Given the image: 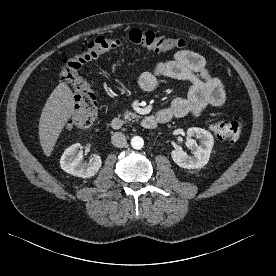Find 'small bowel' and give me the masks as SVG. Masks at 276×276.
Listing matches in <instances>:
<instances>
[{"label": "small bowel", "instance_id": "c3829d8e", "mask_svg": "<svg viewBox=\"0 0 276 276\" xmlns=\"http://www.w3.org/2000/svg\"><path fill=\"white\" fill-rule=\"evenodd\" d=\"M162 77L191 84L186 97L174 99L160 111L169 119L188 114L200 116L208 107H219L225 102L222 82L211 73L199 53L186 49L177 51L171 59L157 63L153 71L140 74L138 84L142 90L150 92Z\"/></svg>", "mask_w": 276, "mask_h": 276}]
</instances>
